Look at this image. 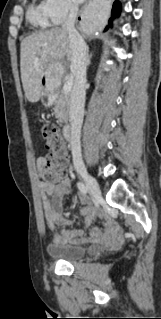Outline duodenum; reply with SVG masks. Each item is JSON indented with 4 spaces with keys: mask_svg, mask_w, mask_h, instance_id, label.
Returning <instances> with one entry per match:
<instances>
[{
    "mask_svg": "<svg viewBox=\"0 0 161 319\" xmlns=\"http://www.w3.org/2000/svg\"><path fill=\"white\" fill-rule=\"evenodd\" d=\"M63 133H64V137L67 140V142L69 144L72 143V129L71 126L69 124H64L63 126Z\"/></svg>",
    "mask_w": 161,
    "mask_h": 319,
    "instance_id": "1",
    "label": "duodenum"
}]
</instances>
